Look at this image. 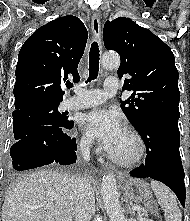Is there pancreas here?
<instances>
[{
  "label": "pancreas",
  "mask_w": 190,
  "mask_h": 221,
  "mask_svg": "<svg viewBox=\"0 0 190 221\" xmlns=\"http://www.w3.org/2000/svg\"><path fill=\"white\" fill-rule=\"evenodd\" d=\"M145 211L143 208H140L139 211H137V221H151V220H148V219H145L144 216H145Z\"/></svg>",
  "instance_id": "cf45deb5"
}]
</instances>
